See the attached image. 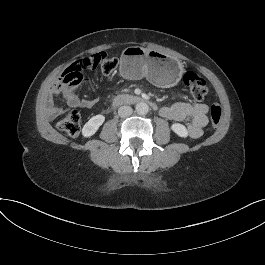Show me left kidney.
<instances>
[{"mask_svg":"<svg viewBox=\"0 0 265 265\" xmlns=\"http://www.w3.org/2000/svg\"><path fill=\"white\" fill-rule=\"evenodd\" d=\"M171 129L180 137H187L188 136V131L186 127L180 123H174L171 126Z\"/></svg>","mask_w":265,"mask_h":265,"instance_id":"1","label":"left kidney"}]
</instances>
